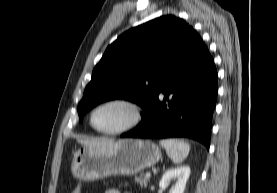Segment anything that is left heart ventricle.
<instances>
[{
    "label": "left heart ventricle",
    "instance_id": "b2bd125f",
    "mask_svg": "<svg viewBox=\"0 0 277 193\" xmlns=\"http://www.w3.org/2000/svg\"><path fill=\"white\" fill-rule=\"evenodd\" d=\"M132 118L131 110L120 104L99 108L93 117L95 126L101 130H115L126 125Z\"/></svg>",
    "mask_w": 277,
    "mask_h": 193
}]
</instances>
